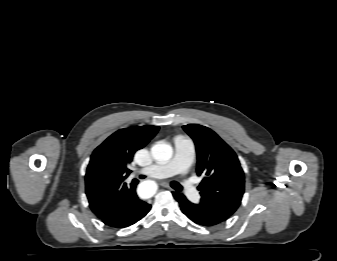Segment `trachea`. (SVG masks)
I'll return each mask as SVG.
<instances>
[{
  "label": "trachea",
  "mask_w": 337,
  "mask_h": 261,
  "mask_svg": "<svg viewBox=\"0 0 337 261\" xmlns=\"http://www.w3.org/2000/svg\"><path fill=\"white\" fill-rule=\"evenodd\" d=\"M141 179L145 178V176H140ZM172 188H174L177 191H181L182 190V186L178 183V182H173L171 184Z\"/></svg>",
  "instance_id": "obj_1"
}]
</instances>
